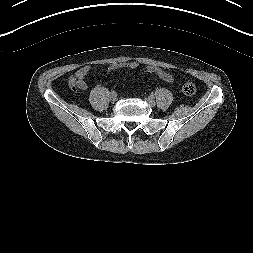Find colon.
I'll return each mask as SVG.
<instances>
[{
	"label": "colon",
	"mask_w": 253,
	"mask_h": 253,
	"mask_svg": "<svg viewBox=\"0 0 253 253\" xmlns=\"http://www.w3.org/2000/svg\"><path fill=\"white\" fill-rule=\"evenodd\" d=\"M72 86H74V81H72ZM73 89H75L73 87ZM182 91L185 95L192 96L196 93V85L191 81H185L182 85Z\"/></svg>",
	"instance_id": "1"
}]
</instances>
